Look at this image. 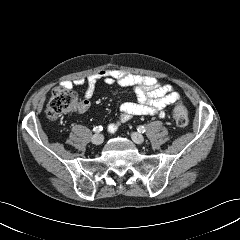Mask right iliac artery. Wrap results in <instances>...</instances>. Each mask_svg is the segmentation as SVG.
<instances>
[{"label":"right iliac artery","mask_w":240,"mask_h":240,"mask_svg":"<svg viewBox=\"0 0 240 240\" xmlns=\"http://www.w3.org/2000/svg\"><path fill=\"white\" fill-rule=\"evenodd\" d=\"M102 130H103L102 126H96V127L93 128V131L96 132V133H99Z\"/></svg>","instance_id":"right-iliac-artery-1"}]
</instances>
